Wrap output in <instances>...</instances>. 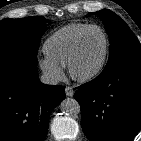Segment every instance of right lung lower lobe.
Instances as JSON below:
<instances>
[{"instance_id": "obj_1", "label": "right lung lower lobe", "mask_w": 141, "mask_h": 141, "mask_svg": "<svg viewBox=\"0 0 141 141\" xmlns=\"http://www.w3.org/2000/svg\"><path fill=\"white\" fill-rule=\"evenodd\" d=\"M36 56L0 57V141H44L51 111L65 98L63 86L40 82Z\"/></svg>"}]
</instances>
